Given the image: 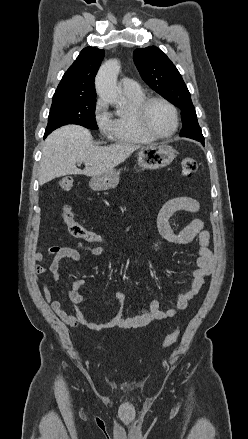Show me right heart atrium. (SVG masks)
Segmentation results:
<instances>
[{
    "label": "right heart atrium",
    "mask_w": 248,
    "mask_h": 439,
    "mask_svg": "<svg viewBox=\"0 0 248 439\" xmlns=\"http://www.w3.org/2000/svg\"><path fill=\"white\" fill-rule=\"evenodd\" d=\"M93 117L100 133L106 137L110 136L113 118L104 99L100 98L96 101Z\"/></svg>",
    "instance_id": "obj_1"
}]
</instances>
